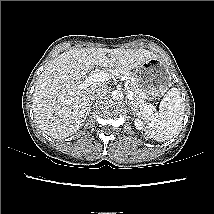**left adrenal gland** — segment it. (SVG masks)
Segmentation results:
<instances>
[{
	"label": "left adrenal gland",
	"mask_w": 214,
	"mask_h": 214,
	"mask_svg": "<svg viewBox=\"0 0 214 214\" xmlns=\"http://www.w3.org/2000/svg\"><path fill=\"white\" fill-rule=\"evenodd\" d=\"M128 105L131 106V105H130V101H128Z\"/></svg>",
	"instance_id": "left-adrenal-gland-1"
}]
</instances>
